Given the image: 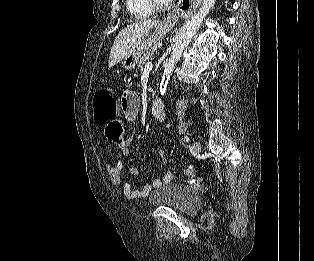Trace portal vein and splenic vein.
<instances>
[{
	"label": "portal vein and splenic vein",
	"instance_id": "obj_1",
	"mask_svg": "<svg viewBox=\"0 0 314 261\" xmlns=\"http://www.w3.org/2000/svg\"><path fill=\"white\" fill-rule=\"evenodd\" d=\"M153 68V65L151 62L146 63L145 67H144V71L145 72H150Z\"/></svg>",
	"mask_w": 314,
	"mask_h": 261
}]
</instances>
